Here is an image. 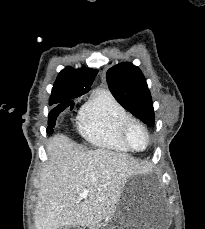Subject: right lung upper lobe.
I'll list each match as a JSON object with an SVG mask.
<instances>
[{
  "label": "right lung upper lobe",
  "instance_id": "obj_1",
  "mask_svg": "<svg viewBox=\"0 0 205 229\" xmlns=\"http://www.w3.org/2000/svg\"><path fill=\"white\" fill-rule=\"evenodd\" d=\"M97 70L89 68L73 69L66 67L62 70L53 86L49 104L64 103L77 98L90 90Z\"/></svg>",
  "mask_w": 205,
  "mask_h": 229
}]
</instances>
